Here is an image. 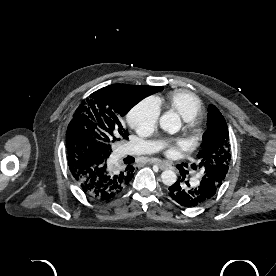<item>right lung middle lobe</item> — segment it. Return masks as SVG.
Wrapping results in <instances>:
<instances>
[{"label": "right lung middle lobe", "instance_id": "obj_1", "mask_svg": "<svg viewBox=\"0 0 276 276\" xmlns=\"http://www.w3.org/2000/svg\"><path fill=\"white\" fill-rule=\"evenodd\" d=\"M161 90V86L115 84L95 91L76 109L68 125L67 145L84 140L109 157L112 144L129 135L122 117L139 101Z\"/></svg>", "mask_w": 276, "mask_h": 276}]
</instances>
